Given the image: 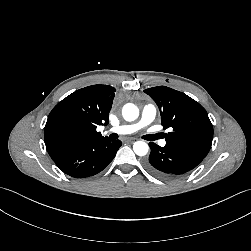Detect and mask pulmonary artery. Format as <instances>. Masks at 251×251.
<instances>
[{
    "mask_svg": "<svg viewBox=\"0 0 251 251\" xmlns=\"http://www.w3.org/2000/svg\"><path fill=\"white\" fill-rule=\"evenodd\" d=\"M156 107L152 104H147L142 108L140 119L131 124L120 125L110 128L107 132L116 134H131L142 128L149 126L156 117ZM165 141H161V145H165Z\"/></svg>",
    "mask_w": 251,
    "mask_h": 251,
    "instance_id": "pulmonary-artery-1",
    "label": "pulmonary artery"
}]
</instances>
